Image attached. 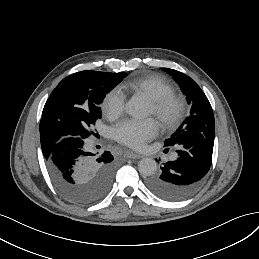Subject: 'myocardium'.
Segmentation results:
<instances>
[{
    "label": "myocardium",
    "instance_id": "myocardium-1",
    "mask_svg": "<svg viewBox=\"0 0 259 259\" xmlns=\"http://www.w3.org/2000/svg\"><path fill=\"white\" fill-rule=\"evenodd\" d=\"M152 114L168 131L175 130L182 122L185 114V100L177 94L151 100Z\"/></svg>",
    "mask_w": 259,
    "mask_h": 259
}]
</instances>
